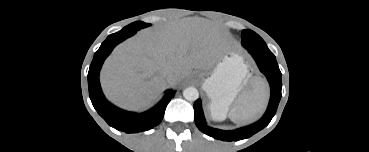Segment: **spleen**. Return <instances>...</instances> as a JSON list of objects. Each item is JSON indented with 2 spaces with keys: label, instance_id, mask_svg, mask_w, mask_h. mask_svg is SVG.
Returning a JSON list of instances; mask_svg holds the SVG:
<instances>
[{
  "label": "spleen",
  "instance_id": "spleen-1",
  "mask_svg": "<svg viewBox=\"0 0 369 152\" xmlns=\"http://www.w3.org/2000/svg\"><path fill=\"white\" fill-rule=\"evenodd\" d=\"M267 101V90L255 86L251 92L239 98L237 104L231 109L229 118L235 123L252 121L264 111Z\"/></svg>",
  "mask_w": 369,
  "mask_h": 152
}]
</instances>
